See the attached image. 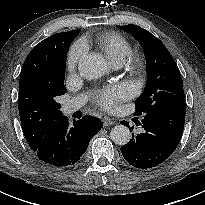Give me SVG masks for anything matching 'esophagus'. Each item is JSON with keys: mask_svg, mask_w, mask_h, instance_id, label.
Masks as SVG:
<instances>
[{"mask_svg": "<svg viewBox=\"0 0 205 205\" xmlns=\"http://www.w3.org/2000/svg\"><path fill=\"white\" fill-rule=\"evenodd\" d=\"M102 122H103V126H111V125H113L115 122L111 119V118H109V117H107V116H104L103 118H102Z\"/></svg>", "mask_w": 205, "mask_h": 205, "instance_id": "34e87169", "label": "esophagus"}]
</instances>
